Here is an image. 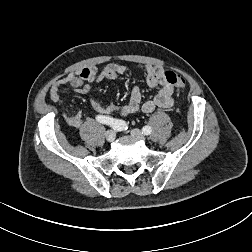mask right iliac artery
I'll return each instance as SVG.
<instances>
[{"instance_id":"82829eb1","label":"right iliac artery","mask_w":252,"mask_h":252,"mask_svg":"<svg viewBox=\"0 0 252 252\" xmlns=\"http://www.w3.org/2000/svg\"><path fill=\"white\" fill-rule=\"evenodd\" d=\"M96 120L102 124L110 125L111 127H113L115 125H120L124 128V130L128 129L127 124L122 120H117V119H113L110 117H104V116H100V115L96 116Z\"/></svg>"}]
</instances>
